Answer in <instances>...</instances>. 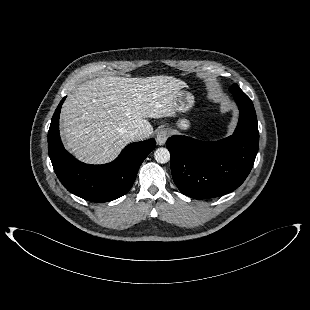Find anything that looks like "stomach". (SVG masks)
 Returning <instances> with one entry per match:
<instances>
[{
	"instance_id": "0dacf381",
	"label": "stomach",
	"mask_w": 310,
	"mask_h": 310,
	"mask_svg": "<svg viewBox=\"0 0 310 310\" xmlns=\"http://www.w3.org/2000/svg\"><path fill=\"white\" fill-rule=\"evenodd\" d=\"M194 105V96L192 93L186 90L180 89L175 97V109L179 112H186L190 110ZM179 127L181 129H187L189 127V122L185 119L179 122Z\"/></svg>"
}]
</instances>
